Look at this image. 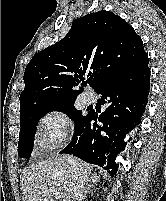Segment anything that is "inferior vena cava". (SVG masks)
Returning <instances> with one entry per match:
<instances>
[{
    "label": "inferior vena cava",
    "instance_id": "obj_1",
    "mask_svg": "<svg viewBox=\"0 0 166 201\" xmlns=\"http://www.w3.org/2000/svg\"><path fill=\"white\" fill-rule=\"evenodd\" d=\"M68 162L72 167V176L74 178L73 199L74 201H82L84 191V179L79 172L76 161L72 157H68Z\"/></svg>",
    "mask_w": 166,
    "mask_h": 201
}]
</instances>
